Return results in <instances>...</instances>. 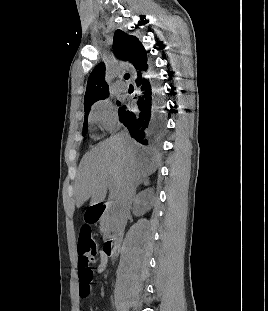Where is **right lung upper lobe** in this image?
Masks as SVG:
<instances>
[{
	"label": "right lung upper lobe",
	"mask_w": 268,
	"mask_h": 311,
	"mask_svg": "<svg viewBox=\"0 0 268 311\" xmlns=\"http://www.w3.org/2000/svg\"><path fill=\"white\" fill-rule=\"evenodd\" d=\"M114 54L118 59L129 61L136 69L137 74L147 65V54L142 43L135 36L128 35L122 30L114 34ZM109 87L105 81V64L99 63L88 78L84 97V111L90 110L93 103L107 98Z\"/></svg>",
	"instance_id": "1"
}]
</instances>
